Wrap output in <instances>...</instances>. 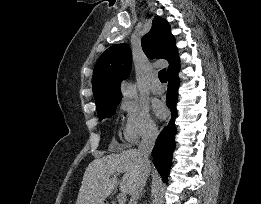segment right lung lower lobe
<instances>
[{
  "mask_svg": "<svg viewBox=\"0 0 261 204\" xmlns=\"http://www.w3.org/2000/svg\"><path fill=\"white\" fill-rule=\"evenodd\" d=\"M180 67V66H179ZM179 67L168 73L167 106L171 110V120L158 136L152 152L153 162L163 180H167L170 171L172 153L175 148L174 136L176 134L175 118L177 116L176 103L178 100V71Z\"/></svg>",
  "mask_w": 261,
  "mask_h": 204,
  "instance_id": "98d812e1",
  "label": "right lung lower lobe"
}]
</instances>
